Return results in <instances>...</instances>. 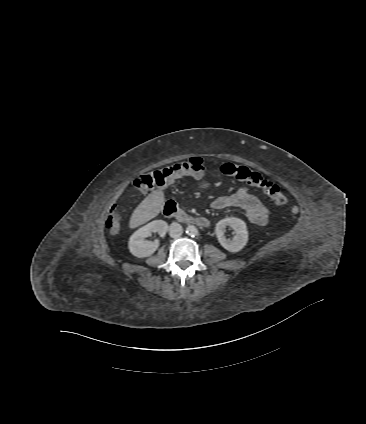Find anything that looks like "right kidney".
Masks as SVG:
<instances>
[{
    "label": "right kidney",
    "mask_w": 366,
    "mask_h": 424,
    "mask_svg": "<svg viewBox=\"0 0 366 424\" xmlns=\"http://www.w3.org/2000/svg\"><path fill=\"white\" fill-rule=\"evenodd\" d=\"M168 227L165 221L155 220L138 229L129 239L128 248L131 254L138 258L151 256L157 250L159 241H148L145 238L152 232H157L160 237H164Z\"/></svg>",
    "instance_id": "obj_1"
}]
</instances>
